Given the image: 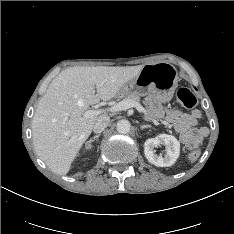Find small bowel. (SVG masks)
Instances as JSON below:
<instances>
[{
  "mask_svg": "<svg viewBox=\"0 0 234 234\" xmlns=\"http://www.w3.org/2000/svg\"><path fill=\"white\" fill-rule=\"evenodd\" d=\"M148 118L153 121L164 120L172 124L180 141L187 147H195L208 135L206 127H197L201 112L197 109L190 113H183L176 109L163 107L154 96L146 99Z\"/></svg>",
  "mask_w": 234,
  "mask_h": 234,
  "instance_id": "c3829d8e",
  "label": "small bowel"
}]
</instances>
